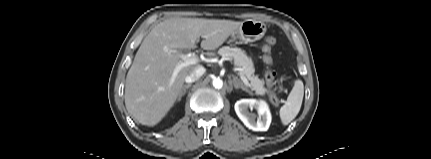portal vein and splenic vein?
Instances as JSON below:
<instances>
[{"label": "portal vein and splenic vein", "instance_id": "portal-vein-and-splenic-vein-1", "mask_svg": "<svg viewBox=\"0 0 431 159\" xmlns=\"http://www.w3.org/2000/svg\"><path fill=\"white\" fill-rule=\"evenodd\" d=\"M179 56H180V58L182 59V61H181V62H180L176 67H175V69H174V71H173V73H172V76H171V79H170V82H169L168 87H171V86L173 85V83H174V81H175V79H176V77H177V75H178L179 71H180L183 67H186V66H189V65H193V64H196V63H198V62H199L198 57H197V56H195V55H194V54H192V53L180 54ZM238 71H241V69H238ZM239 75H240V78H241V80L243 81V83H244L246 86L250 87V83H249V81L247 80V78H246L244 75H242V74H239Z\"/></svg>", "mask_w": 431, "mask_h": 159}]
</instances>
